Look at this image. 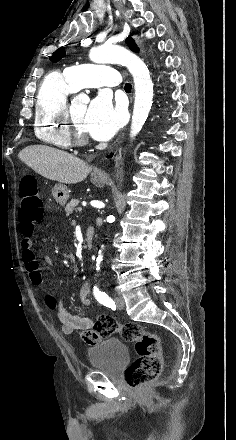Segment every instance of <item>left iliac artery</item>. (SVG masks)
Masks as SVG:
<instances>
[{"label": "left iliac artery", "instance_id": "left-iliac-artery-1", "mask_svg": "<svg viewBox=\"0 0 236 440\" xmlns=\"http://www.w3.org/2000/svg\"><path fill=\"white\" fill-rule=\"evenodd\" d=\"M93 295L95 299L102 305L109 307L113 310L116 309V305L113 299H111L105 292L100 291L97 286H94L93 288Z\"/></svg>", "mask_w": 236, "mask_h": 440}]
</instances>
